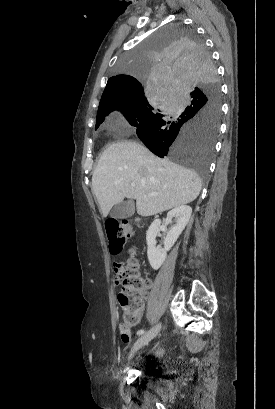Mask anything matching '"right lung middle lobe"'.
I'll return each mask as SVG.
<instances>
[{"instance_id":"dd1d6c3e","label":"right lung middle lobe","mask_w":275,"mask_h":409,"mask_svg":"<svg viewBox=\"0 0 275 409\" xmlns=\"http://www.w3.org/2000/svg\"><path fill=\"white\" fill-rule=\"evenodd\" d=\"M138 50H126L113 73H132L158 96H134L97 113L121 111L155 155L188 165L207 181L220 121V85L212 55L192 24H165ZM199 188L204 184L199 183Z\"/></svg>"}]
</instances>
